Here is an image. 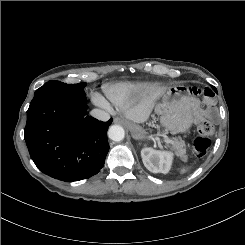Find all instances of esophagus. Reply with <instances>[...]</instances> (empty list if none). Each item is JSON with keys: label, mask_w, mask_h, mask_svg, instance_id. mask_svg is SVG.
Segmentation results:
<instances>
[{"label": "esophagus", "mask_w": 245, "mask_h": 245, "mask_svg": "<svg viewBox=\"0 0 245 245\" xmlns=\"http://www.w3.org/2000/svg\"><path fill=\"white\" fill-rule=\"evenodd\" d=\"M123 122L124 120L119 117L114 118V123H123Z\"/></svg>", "instance_id": "34e87169"}]
</instances>
